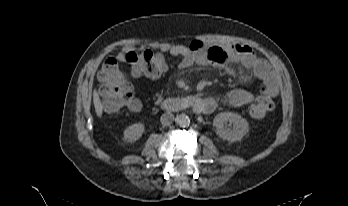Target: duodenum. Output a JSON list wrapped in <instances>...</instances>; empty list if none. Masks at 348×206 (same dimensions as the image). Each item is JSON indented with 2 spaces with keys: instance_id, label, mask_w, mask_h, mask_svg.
<instances>
[{
  "instance_id": "obj_1",
  "label": "duodenum",
  "mask_w": 348,
  "mask_h": 206,
  "mask_svg": "<svg viewBox=\"0 0 348 206\" xmlns=\"http://www.w3.org/2000/svg\"><path fill=\"white\" fill-rule=\"evenodd\" d=\"M162 106L165 111L190 109L197 114L203 115L214 108V103L210 99L193 94L181 99H167Z\"/></svg>"
}]
</instances>
